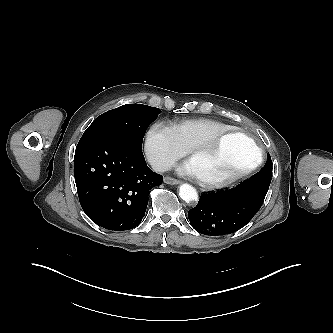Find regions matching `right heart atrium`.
<instances>
[{
  "label": "right heart atrium",
  "mask_w": 333,
  "mask_h": 333,
  "mask_svg": "<svg viewBox=\"0 0 333 333\" xmlns=\"http://www.w3.org/2000/svg\"><path fill=\"white\" fill-rule=\"evenodd\" d=\"M186 151L169 126L155 122L149 127L146 133L145 152L156 170H166Z\"/></svg>",
  "instance_id": "right-heart-atrium-1"
}]
</instances>
